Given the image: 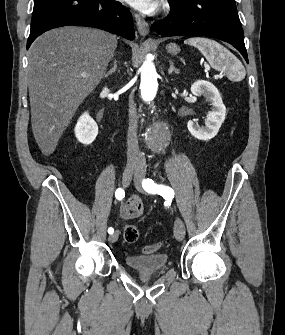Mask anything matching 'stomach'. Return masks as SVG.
<instances>
[{
    "instance_id": "obj_1",
    "label": "stomach",
    "mask_w": 285,
    "mask_h": 335,
    "mask_svg": "<svg viewBox=\"0 0 285 335\" xmlns=\"http://www.w3.org/2000/svg\"><path fill=\"white\" fill-rule=\"evenodd\" d=\"M166 50L169 54H174V56L180 52V48L179 46H176V44H168V46H166Z\"/></svg>"
}]
</instances>
